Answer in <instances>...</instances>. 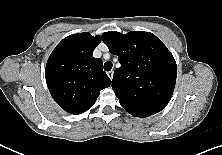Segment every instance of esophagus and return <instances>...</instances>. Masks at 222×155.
Instances as JSON below:
<instances>
[{
    "label": "esophagus",
    "mask_w": 222,
    "mask_h": 155,
    "mask_svg": "<svg viewBox=\"0 0 222 155\" xmlns=\"http://www.w3.org/2000/svg\"><path fill=\"white\" fill-rule=\"evenodd\" d=\"M113 74H114L113 71L107 72V75H108V77H109L111 80H112V78H113Z\"/></svg>",
    "instance_id": "1"
}]
</instances>
